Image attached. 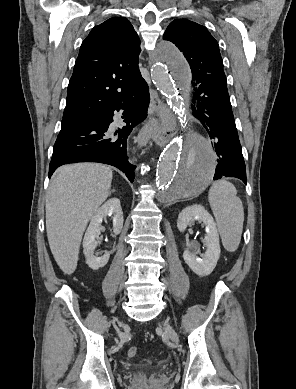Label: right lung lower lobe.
<instances>
[{
  "label": "right lung lower lobe",
  "instance_id": "obj_1",
  "mask_svg": "<svg viewBox=\"0 0 296 389\" xmlns=\"http://www.w3.org/2000/svg\"><path fill=\"white\" fill-rule=\"evenodd\" d=\"M150 96L148 85L140 75L117 106L94 114L72 128L61 130L53 148L49 177L61 165L77 162H99L120 169L133 182L135 167L127 158V139L133 128L147 116ZM125 109L126 126L112 137L107 130L113 122V112Z\"/></svg>",
  "mask_w": 296,
  "mask_h": 389
}]
</instances>
